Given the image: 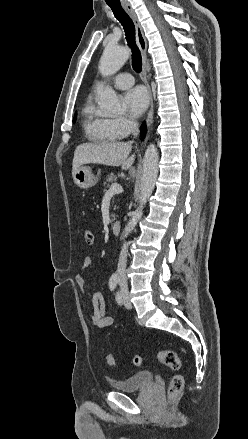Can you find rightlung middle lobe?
Here are the masks:
<instances>
[{
  "instance_id": "obj_1",
  "label": "right lung middle lobe",
  "mask_w": 248,
  "mask_h": 439,
  "mask_svg": "<svg viewBox=\"0 0 248 439\" xmlns=\"http://www.w3.org/2000/svg\"><path fill=\"white\" fill-rule=\"evenodd\" d=\"M75 121H76V113H75V116H74L73 122H75Z\"/></svg>"
}]
</instances>
